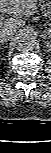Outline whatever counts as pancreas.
<instances>
[{"mask_svg":"<svg viewBox=\"0 0 51 153\" xmlns=\"http://www.w3.org/2000/svg\"><path fill=\"white\" fill-rule=\"evenodd\" d=\"M40 10L47 16L51 13L49 4L44 3L43 0H40Z\"/></svg>","mask_w":51,"mask_h":153,"instance_id":"pancreas-1","label":"pancreas"}]
</instances>
